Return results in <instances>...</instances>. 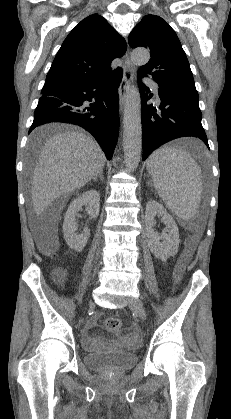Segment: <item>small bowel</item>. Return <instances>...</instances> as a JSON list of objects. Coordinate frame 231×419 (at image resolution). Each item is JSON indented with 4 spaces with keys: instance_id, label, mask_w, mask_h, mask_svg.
I'll return each mask as SVG.
<instances>
[{
    "instance_id": "obj_1",
    "label": "small bowel",
    "mask_w": 231,
    "mask_h": 419,
    "mask_svg": "<svg viewBox=\"0 0 231 419\" xmlns=\"http://www.w3.org/2000/svg\"><path fill=\"white\" fill-rule=\"evenodd\" d=\"M99 317V315H96L94 317L93 320L89 321L87 324L86 329L84 330L83 333V339H84V347L87 350H93L95 349L98 345H103L109 342V340L105 337H98V336H93L90 333V330L94 327L97 326V318ZM121 343H130V344H136L138 342V339L136 337V335L132 336V337H125L123 339L120 340Z\"/></svg>"
}]
</instances>
